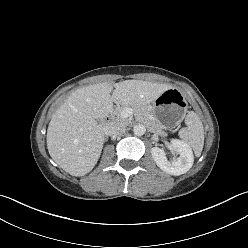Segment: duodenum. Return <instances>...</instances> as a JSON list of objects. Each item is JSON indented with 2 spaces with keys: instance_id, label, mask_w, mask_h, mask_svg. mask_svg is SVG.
<instances>
[{
  "instance_id": "duodenum-1",
  "label": "duodenum",
  "mask_w": 248,
  "mask_h": 248,
  "mask_svg": "<svg viewBox=\"0 0 248 248\" xmlns=\"http://www.w3.org/2000/svg\"><path fill=\"white\" fill-rule=\"evenodd\" d=\"M111 120V117H110V115H107L106 117H105V122H109Z\"/></svg>"
}]
</instances>
